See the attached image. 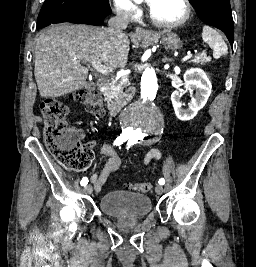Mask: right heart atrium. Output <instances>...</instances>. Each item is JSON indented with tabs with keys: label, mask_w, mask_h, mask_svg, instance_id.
<instances>
[{
	"label": "right heart atrium",
	"mask_w": 256,
	"mask_h": 267,
	"mask_svg": "<svg viewBox=\"0 0 256 267\" xmlns=\"http://www.w3.org/2000/svg\"><path fill=\"white\" fill-rule=\"evenodd\" d=\"M140 13H141L140 9L138 7H135L133 10L126 12L124 15L127 19L134 20L139 17Z\"/></svg>",
	"instance_id": "obj_1"
}]
</instances>
